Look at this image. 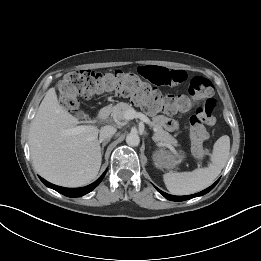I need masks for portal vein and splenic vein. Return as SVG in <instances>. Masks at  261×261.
I'll use <instances>...</instances> for the list:
<instances>
[{"mask_svg": "<svg viewBox=\"0 0 261 261\" xmlns=\"http://www.w3.org/2000/svg\"><path fill=\"white\" fill-rule=\"evenodd\" d=\"M134 118H139L140 120H142L145 123H149L150 120L147 116H145L143 113L141 112H136L133 108L130 110H127L124 113V119L126 120H132ZM93 127V125H80V126H76L74 128H70L65 130V134L67 135H75V134H79L83 131H85L87 128H91Z\"/></svg>", "mask_w": 261, "mask_h": 261, "instance_id": "18ae733b", "label": "portal vein and splenic vein"}]
</instances>
